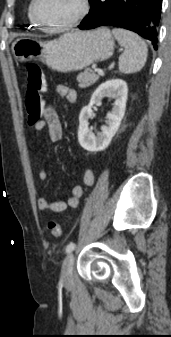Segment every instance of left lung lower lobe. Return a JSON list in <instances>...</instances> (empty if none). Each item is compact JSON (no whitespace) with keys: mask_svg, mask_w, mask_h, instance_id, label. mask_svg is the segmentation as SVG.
<instances>
[{"mask_svg":"<svg viewBox=\"0 0 171 337\" xmlns=\"http://www.w3.org/2000/svg\"><path fill=\"white\" fill-rule=\"evenodd\" d=\"M162 0H93L79 29L115 26L132 30L157 49Z\"/></svg>","mask_w":171,"mask_h":337,"instance_id":"obj_1","label":"left lung lower lobe"}]
</instances>
